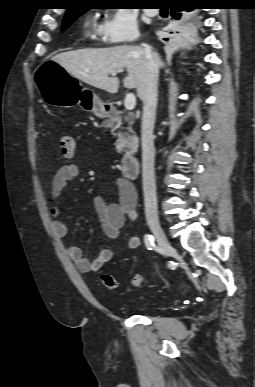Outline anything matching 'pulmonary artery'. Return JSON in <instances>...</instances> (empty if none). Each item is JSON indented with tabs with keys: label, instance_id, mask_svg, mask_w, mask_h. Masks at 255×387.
<instances>
[{
	"label": "pulmonary artery",
	"instance_id": "1",
	"mask_svg": "<svg viewBox=\"0 0 255 387\" xmlns=\"http://www.w3.org/2000/svg\"><path fill=\"white\" fill-rule=\"evenodd\" d=\"M145 12L150 16H155L158 13V9H146Z\"/></svg>",
	"mask_w": 255,
	"mask_h": 387
}]
</instances>
